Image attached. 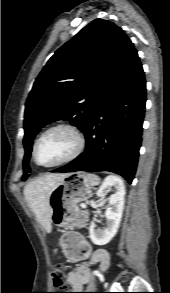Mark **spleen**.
I'll list each match as a JSON object with an SVG mask.
<instances>
[{
	"label": "spleen",
	"instance_id": "3e777b00",
	"mask_svg": "<svg viewBox=\"0 0 170 293\" xmlns=\"http://www.w3.org/2000/svg\"><path fill=\"white\" fill-rule=\"evenodd\" d=\"M87 177L92 185H98L100 183V178L95 174H88Z\"/></svg>",
	"mask_w": 170,
	"mask_h": 293
}]
</instances>
